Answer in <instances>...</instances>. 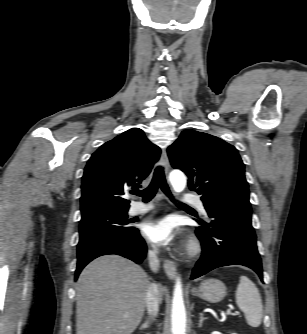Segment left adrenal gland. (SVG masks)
I'll list each match as a JSON object with an SVG mask.
<instances>
[{"mask_svg":"<svg viewBox=\"0 0 307 334\" xmlns=\"http://www.w3.org/2000/svg\"><path fill=\"white\" fill-rule=\"evenodd\" d=\"M207 319L206 317H204L203 313H200V319H199V323L198 326L201 327L203 324V321Z\"/></svg>","mask_w":307,"mask_h":334,"instance_id":"1","label":"left adrenal gland"}]
</instances>
